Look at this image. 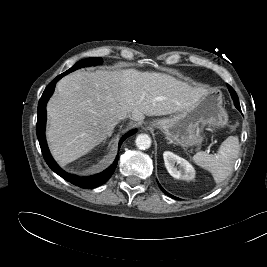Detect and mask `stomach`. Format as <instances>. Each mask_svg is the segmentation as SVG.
<instances>
[{"mask_svg":"<svg viewBox=\"0 0 267 267\" xmlns=\"http://www.w3.org/2000/svg\"><path fill=\"white\" fill-rule=\"evenodd\" d=\"M160 129L168 139L184 148L199 147L204 140L203 130H212L228 125V114L223 107L221 92H207L190 108L176 112L168 118L153 120L150 124Z\"/></svg>","mask_w":267,"mask_h":267,"instance_id":"stomach-1","label":"stomach"}]
</instances>
